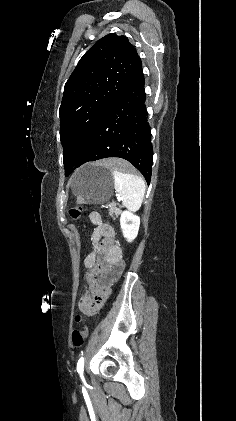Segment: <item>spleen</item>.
Wrapping results in <instances>:
<instances>
[{
    "mask_svg": "<svg viewBox=\"0 0 236 421\" xmlns=\"http://www.w3.org/2000/svg\"><path fill=\"white\" fill-rule=\"evenodd\" d=\"M113 164L114 162L111 160L106 168H112L113 170L114 188L120 194L121 200L128 211L135 213L143 202L146 184L142 176L120 172Z\"/></svg>",
    "mask_w": 236,
    "mask_h": 421,
    "instance_id": "3e777b00",
    "label": "spleen"
}]
</instances>
